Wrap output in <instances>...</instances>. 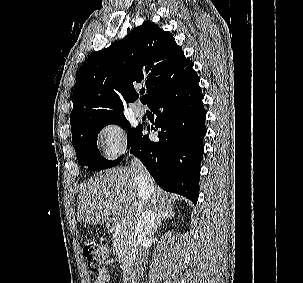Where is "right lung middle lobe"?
<instances>
[{
  "mask_svg": "<svg viewBox=\"0 0 303 283\" xmlns=\"http://www.w3.org/2000/svg\"><path fill=\"white\" fill-rule=\"evenodd\" d=\"M108 124H116L121 126L123 129L130 128V124L126 120L125 116H120L110 120L86 123L72 134V142L76 151L78 162L82 166H88L90 171H98L113 167L119 164L123 159V156H121L117 160L108 161L101 156L97 148L98 133L104 126ZM141 129L142 126L138 125L136 128L128 131V148L132 146Z\"/></svg>",
  "mask_w": 303,
  "mask_h": 283,
  "instance_id": "right-lung-middle-lobe-1",
  "label": "right lung middle lobe"
}]
</instances>
